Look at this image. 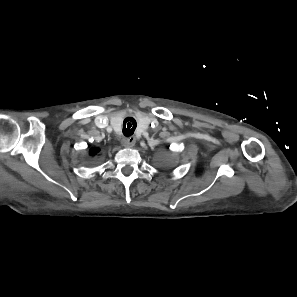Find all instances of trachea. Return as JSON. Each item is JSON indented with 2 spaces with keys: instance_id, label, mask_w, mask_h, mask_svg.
<instances>
[{
  "instance_id": "1",
  "label": "trachea",
  "mask_w": 297,
  "mask_h": 297,
  "mask_svg": "<svg viewBox=\"0 0 297 297\" xmlns=\"http://www.w3.org/2000/svg\"><path fill=\"white\" fill-rule=\"evenodd\" d=\"M135 129H136V124L133 123V125H132L131 123H127V127H126V123H124V125H123L124 136H126V137L132 136Z\"/></svg>"
}]
</instances>
